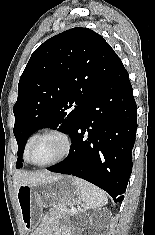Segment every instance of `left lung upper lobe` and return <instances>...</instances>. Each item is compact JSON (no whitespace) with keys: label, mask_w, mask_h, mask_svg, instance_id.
<instances>
[{"label":"left lung upper lobe","mask_w":155,"mask_h":235,"mask_svg":"<svg viewBox=\"0 0 155 235\" xmlns=\"http://www.w3.org/2000/svg\"><path fill=\"white\" fill-rule=\"evenodd\" d=\"M120 58L105 39L76 27L42 43L31 55L18 84L14 105L16 168L35 131L50 127L72 135L86 106Z\"/></svg>","instance_id":"left-lung-upper-lobe-1"}]
</instances>
